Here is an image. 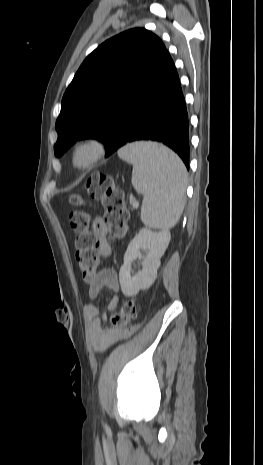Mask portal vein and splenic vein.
I'll return each mask as SVG.
<instances>
[{
  "label": "portal vein and splenic vein",
  "mask_w": 263,
  "mask_h": 465,
  "mask_svg": "<svg viewBox=\"0 0 263 465\" xmlns=\"http://www.w3.org/2000/svg\"><path fill=\"white\" fill-rule=\"evenodd\" d=\"M132 206L134 208H137L139 206V203L137 201H132Z\"/></svg>",
  "instance_id": "portal-vein-and-splenic-vein-1"
}]
</instances>
